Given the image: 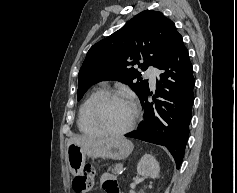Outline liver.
I'll use <instances>...</instances> for the list:
<instances>
[{"label": "liver", "instance_id": "6515ba94", "mask_svg": "<svg viewBox=\"0 0 237 193\" xmlns=\"http://www.w3.org/2000/svg\"><path fill=\"white\" fill-rule=\"evenodd\" d=\"M109 140H110L109 138L102 139V140H95V139L90 138L88 136H72L68 140L67 147L70 144H76V145H81V146L101 145ZM66 156H67V153H66Z\"/></svg>", "mask_w": 237, "mask_h": 193}]
</instances>
